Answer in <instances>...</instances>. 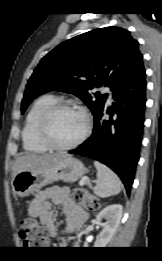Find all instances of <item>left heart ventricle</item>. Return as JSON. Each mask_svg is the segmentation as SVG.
I'll use <instances>...</instances> for the list:
<instances>
[{
	"mask_svg": "<svg viewBox=\"0 0 162 261\" xmlns=\"http://www.w3.org/2000/svg\"><path fill=\"white\" fill-rule=\"evenodd\" d=\"M85 120L75 110H61L54 115L50 123L53 140L61 145L75 141L83 132Z\"/></svg>",
	"mask_w": 162,
	"mask_h": 261,
	"instance_id": "b2bd125f",
	"label": "left heart ventricle"
}]
</instances>
